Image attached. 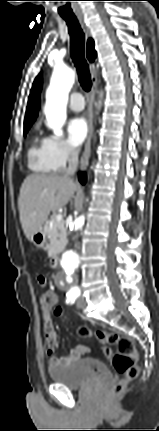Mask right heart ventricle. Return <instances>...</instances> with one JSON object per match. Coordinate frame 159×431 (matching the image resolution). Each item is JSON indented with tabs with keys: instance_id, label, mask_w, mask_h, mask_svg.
<instances>
[{
	"instance_id": "1",
	"label": "right heart ventricle",
	"mask_w": 159,
	"mask_h": 431,
	"mask_svg": "<svg viewBox=\"0 0 159 431\" xmlns=\"http://www.w3.org/2000/svg\"><path fill=\"white\" fill-rule=\"evenodd\" d=\"M27 156L28 166L32 171L38 173L53 171L46 157L43 140H40L38 137L32 139Z\"/></svg>"
}]
</instances>
